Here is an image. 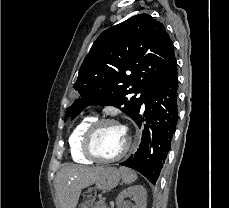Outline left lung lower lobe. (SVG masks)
<instances>
[{"mask_svg":"<svg viewBox=\"0 0 229 208\" xmlns=\"http://www.w3.org/2000/svg\"><path fill=\"white\" fill-rule=\"evenodd\" d=\"M133 120L141 127L145 121L137 152L120 165L133 168L155 184L170 150L178 121V74L159 88L149 90Z\"/></svg>","mask_w":229,"mask_h":208,"instance_id":"1","label":"left lung lower lobe"}]
</instances>
